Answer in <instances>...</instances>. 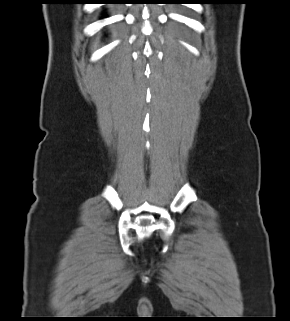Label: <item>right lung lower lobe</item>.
<instances>
[{"label":"right lung lower lobe","mask_w":290,"mask_h":321,"mask_svg":"<svg viewBox=\"0 0 290 321\" xmlns=\"http://www.w3.org/2000/svg\"><path fill=\"white\" fill-rule=\"evenodd\" d=\"M101 3H109V2L103 1V2H101Z\"/></svg>","instance_id":"1"}]
</instances>
